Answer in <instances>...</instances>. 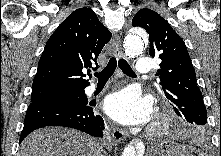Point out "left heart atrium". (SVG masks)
I'll use <instances>...</instances> for the list:
<instances>
[{
    "label": "left heart atrium",
    "instance_id": "left-heart-atrium-1",
    "mask_svg": "<svg viewBox=\"0 0 221 156\" xmlns=\"http://www.w3.org/2000/svg\"><path fill=\"white\" fill-rule=\"evenodd\" d=\"M106 114L124 126H142L153 116L152 101L132 87L108 95L104 101Z\"/></svg>",
    "mask_w": 221,
    "mask_h": 156
}]
</instances>
